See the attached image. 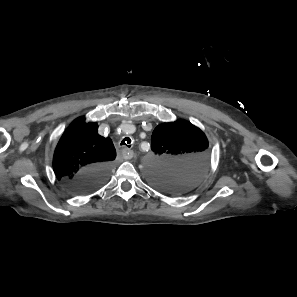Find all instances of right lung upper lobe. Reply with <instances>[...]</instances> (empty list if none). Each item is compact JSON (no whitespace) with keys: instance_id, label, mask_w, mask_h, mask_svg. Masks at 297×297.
I'll use <instances>...</instances> for the list:
<instances>
[{"instance_id":"right-lung-upper-lobe-1","label":"right lung upper lobe","mask_w":297,"mask_h":297,"mask_svg":"<svg viewBox=\"0 0 297 297\" xmlns=\"http://www.w3.org/2000/svg\"><path fill=\"white\" fill-rule=\"evenodd\" d=\"M116 157L112 140L98 134L96 123L76 119L62 135L54 153L53 169L60 180L69 182L79 172L98 164H110Z\"/></svg>"}]
</instances>
